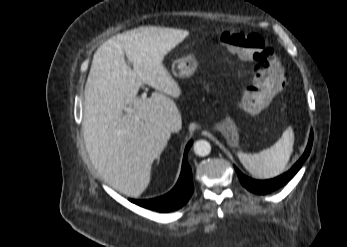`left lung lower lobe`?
<instances>
[{
	"label": "left lung lower lobe",
	"mask_w": 347,
	"mask_h": 247,
	"mask_svg": "<svg viewBox=\"0 0 347 247\" xmlns=\"http://www.w3.org/2000/svg\"><path fill=\"white\" fill-rule=\"evenodd\" d=\"M312 142H313V134L311 131L309 142L307 145V148L302 155V157L296 162V164L285 174L278 176L274 179L270 180H264V181H258L251 179L245 175H243L236 167L235 170L238 174V177L243 184L248 190L251 192L257 193V194H267L270 193L280 187H282L284 184H286L296 173L297 171L301 168L302 164L304 161L307 159L309 156V153L311 151L312 147Z\"/></svg>",
	"instance_id": "1"
}]
</instances>
